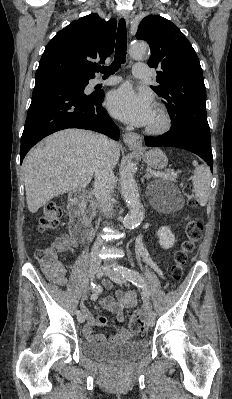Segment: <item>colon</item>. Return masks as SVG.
Returning <instances> with one entry per match:
<instances>
[{"instance_id":"1","label":"colon","mask_w":232,"mask_h":399,"mask_svg":"<svg viewBox=\"0 0 232 399\" xmlns=\"http://www.w3.org/2000/svg\"><path fill=\"white\" fill-rule=\"evenodd\" d=\"M175 182L181 189L182 198L189 205H194L198 201V196L194 191V186L189 177L184 173H179L175 177ZM44 217L40 218V222L36 225V230L40 234H45L47 231L57 229L61 225V220L57 203H44ZM203 221L199 217H194L188 221V225L184 226L185 232L181 246L175 252L174 260L178 264H174L170 268V273L174 277H179L183 273V268L179 264L185 262H193V257H190L194 251L195 241L197 235H201ZM57 250L53 246H48L46 249H40L36 253V258L41 262V266L48 273V283H56L63 285L67 281V275L61 270L59 260L55 257ZM131 320H133V335H148V328H142V324H148V317L146 313H131Z\"/></svg>"}]
</instances>
